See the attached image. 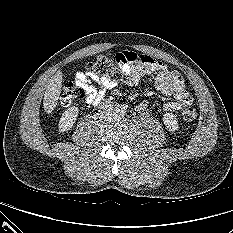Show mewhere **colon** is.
<instances>
[{
    "label": "colon",
    "mask_w": 233,
    "mask_h": 233,
    "mask_svg": "<svg viewBox=\"0 0 233 233\" xmlns=\"http://www.w3.org/2000/svg\"><path fill=\"white\" fill-rule=\"evenodd\" d=\"M127 63L117 56L114 58L100 55L95 61L88 65V70L95 72L101 76L108 77L115 81L127 80L130 74L127 71ZM83 91L75 86L72 82H68L63 86L60 96V103L67 106L83 96ZM184 122L191 123L197 118V111L192 106H186L181 113Z\"/></svg>",
    "instance_id": "5ec220e1"
}]
</instances>
